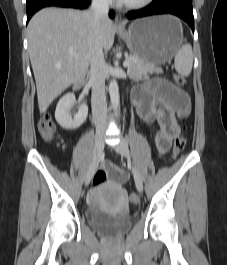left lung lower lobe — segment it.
<instances>
[{
	"label": "left lung lower lobe",
	"mask_w": 227,
	"mask_h": 265,
	"mask_svg": "<svg viewBox=\"0 0 227 265\" xmlns=\"http://www.w3.org/2000/svg\"><path fill=\"white\" fill-rule=\"evenodd\" d=\"M156 14H173L185 20L194 32L192 0H153L147 7L127 13L128 19Z\"/></svg>",
	"instance_id": "0a47b994"
}]
</instances>
